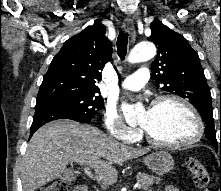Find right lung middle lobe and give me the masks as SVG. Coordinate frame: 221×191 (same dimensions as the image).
Instances as JSON below:
<instances>
[{"label":"right lung middle lobe","instance_id":"right-lung-middle-lobe-1","mask_svg":"<svg viewBox=\"0 0 221 191\" xmlns=\"http://www.w3.org/2000/svg\"><path fill=\"white\" fill-rule=\"evenodd\" d=\"M62 108L74 118L90 122L103 107V98L95 95H70L45 100Z\"/></svg>","mask_w":221,"mask_h":191}]
</instances>
